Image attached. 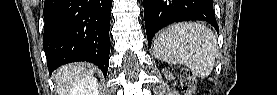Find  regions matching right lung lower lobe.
Instances as JSON below:
<instances>
[{"instance_id":"obj_1","label":"right lung lower lobe","mask_w":277,"mask_h":95,"mask_svg":"<svg viewBox=\"0 0 277 95\" xmlns=\"http://www.w3.org/2000/svg\"><path fill=\"white\" fill-rule=\"evenodd\" d=\"M111 0H45L43 48L51 74L77 61L96 64L107 75Z\"/></svg>"}]
</instances>
